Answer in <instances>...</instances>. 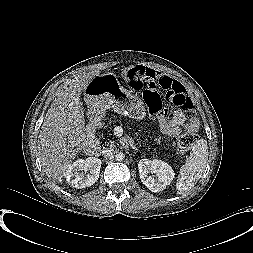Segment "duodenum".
I'll return each mask as SVG.
<instances>
[{"label":"duodenum","mask_w":253,"mask_h":253,"mask_svg":"<svg viewBox=\"0 0 253 253\" xmlns=\"http://www.w3.org/2000/svg\"><path fill=\"white\" fill-rule=\"evenodd\" d=\"M102 116H103V114H102L101 110H98V109L92 110L91 111V117H90L91 118V123L93 125L99 124L100 121L102 120ZM97 149H98L97 144L92 140V141H90L86 144L84 150L87 154L92 155L97 151Z\"/></svg>","instance_id":"410a0bca"}]
</instances>
